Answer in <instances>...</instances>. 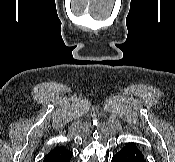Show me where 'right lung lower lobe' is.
I'll use <instances>...</instances> for the list:
<instances>
[{"label": "right lung lower lobe", "instance_id": "1", "mask_svg": "<svg viewBox=\"0 0 175 162\" xmlns=\"http://www.w3.org/2000/svg\"><path fill=\"white\" fill-rule=\"evenodd\" d=\"M72 152L65 147H56L51 150L44 158L43 162H70Z\"/></svg>", "mask_w": 175, "mask_h": 162}]
</instances>
